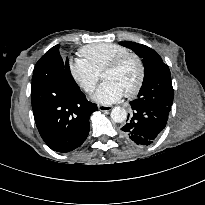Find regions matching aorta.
I'll return each mask as SVG.
<instances>
[{"mask_svg": "<svg viewBox=\"0 0 205 205\" xmlns=\"http://www.w3.org/2000/svg\"><path fill=\"white\" fill-rule=\"evenodd\" d=\"M111 118L114 122L116 123H121L127 118V112L124 108L122 107H114L111 110Z\"/></svg>", "mask_w": 205, "mask_h": 205, "instance_id": "1", "label": "aorta"}]
</instances>
